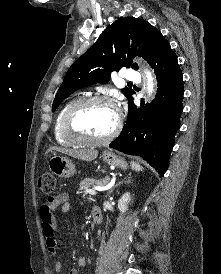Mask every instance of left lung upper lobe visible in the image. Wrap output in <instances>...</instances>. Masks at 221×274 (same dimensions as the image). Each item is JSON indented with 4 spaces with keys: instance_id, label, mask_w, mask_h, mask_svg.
<instances>
[{
    "instance_id": "obj_1",
    "label": "left lung upper lobe",
    "mask_w": 221,
    "mask_h": 274,
    "mask_svg": "<svg viewBox=\"0 0 221 274\" xmlns=\"http://www.w3.org/2000/svg\"><path fill=\"white\" fill-rule=\"evenodd\" d=\"M168 41L149 22L140 18L126 17L109 25L96 43L70 67L55 96L52 111L76 90L110 80L112 71L122 67L138 66L133 56L150 61L152 56ZM123 93L129 99L134 91L125 87Z\"/></svg>"
}]
</instances>
